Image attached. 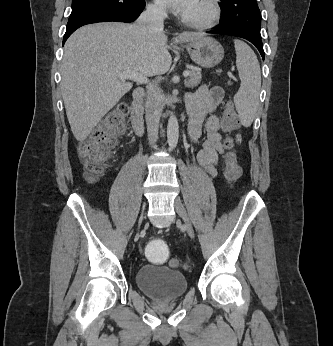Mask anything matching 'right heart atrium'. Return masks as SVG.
<instances>
[{
    "label": "right heart atrium",
    "instance_id": "d8ad5b80",
    "mask_svg": "<svg viewBox=\"0 0 333 346\" xmlns=\"http://www.w3.org/2000/svg\"><path fill=\"white\" fill-rule=\"evenodd\" d=\"M150 12L154 15L161 16L164 13V9L162 6L158 3V0H154L151 2L148 6Z\"/></svg>",
    "mask_w": 333,
    "mask_h": 346
}]
</instances>
